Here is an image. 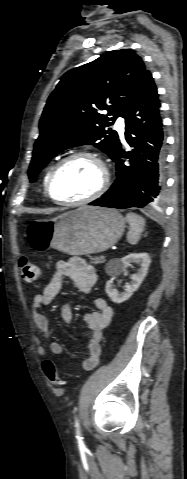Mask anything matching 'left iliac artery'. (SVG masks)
<instances>
[{
	"instance_id": "44dca946",
	"label": "left iliac artery",
	"mask_w": 187,
	"mask_h": 479,
	"mask_svg": "<svg viewBox=\"0 0 187 479\" xmlns=\"http://www.w3.org/2000/svg\"><path fill=\"white\" fill-rule=\"evenodd\" d=\"M75 426L77 427V433L79 434V423H78L77 420H76V422H75ZM77 438H78L79 440L82 439L79 435L77 436Z\"/></svg>"
}]
</instances>
